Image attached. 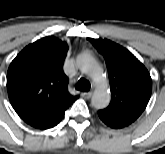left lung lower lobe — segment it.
<instances>
[{"label": "left lung lower lobe", "mask_w": 165, "mask_h": 154, "mask_svg": "<svg viewBox=\"0 0 165 154\" xmlns=\"http://www.w3.org/2000/svg\"><path fill=\"white\" fill-rule=\"evenodd\" d=\"M98 115L99 118L109 127H112L114 129H118V128H123L125 126H128L129 123L123 121V120H119V119H115V118H110L102 113H100L98 111Z\"/></svg>", "instance_id": "obj_1"}]
</instances>
